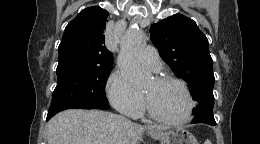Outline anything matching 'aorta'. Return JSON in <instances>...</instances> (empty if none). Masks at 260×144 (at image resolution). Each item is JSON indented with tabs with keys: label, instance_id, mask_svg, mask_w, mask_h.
Here are the masks:
<instances>
[{
	"label": "aorta",
	"instance_id": "aorta-1",
	"mask_svg": "<svg viewBox=\"0 0 260 144\" xmlns=\"http://www.w3.org/2000/svg\"><path fill=\"white\" fill-rule=\"evenodd\" d=\"M144 46V34L141 30L131 28L120 39V53L117 64L122 75L134 86H141L150 74L145 72L139 62L138 55Z\"/></svg>",
	"mask_w": 260,
	"mask_h": 144
}]
</instances>
